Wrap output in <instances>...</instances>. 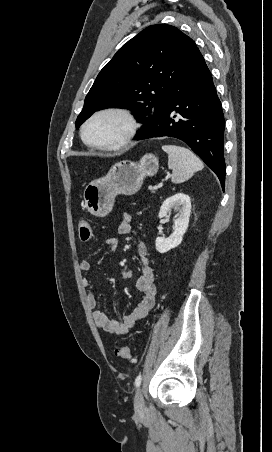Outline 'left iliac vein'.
Wrapping results in <instances>:
<instances>
[{"label": "left iliac vein", "mask_w": 272, "mask_h": 452, "mask_svg": "<svg viewBox=\"0 0 272 452\" xmlns=\"http://www.w3.org/2000/svg\"><path fill=\"white\" fill-rule=\"evenodd\" d=\"M134 409L137 415L143 414L145 410V404L141 389H137L135 398H134Z\"/></svg>", "instance_id": "1"}]
</instances>
